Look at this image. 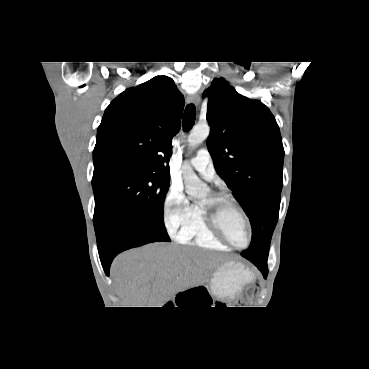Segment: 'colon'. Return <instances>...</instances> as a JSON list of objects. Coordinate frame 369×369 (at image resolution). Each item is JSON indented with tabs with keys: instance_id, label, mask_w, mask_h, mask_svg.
I'll return each mask as SVG.
<instances>
[{
	"instance_id": "1",
	"label": "colon",
	"mask_w": 369,
	"mask_h": 369,
	"mask_svg": "<svg viewBox=\"0 0 369 369\" xmlns=\"http://www.w3.org/2000/svg\"><path fill=\"white\" fill-rule=\"evenodd\" d=\"M254 298V290H250L246 292L244 295H242L237 301L236 306L237 307H244L251 304L252 300Z\"/></svg>"
}]
</instances>
